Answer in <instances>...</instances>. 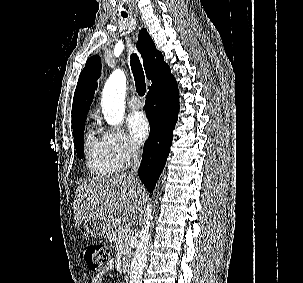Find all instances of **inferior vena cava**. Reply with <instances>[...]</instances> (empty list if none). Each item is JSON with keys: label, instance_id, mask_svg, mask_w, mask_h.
I'll list each match as a JSON object with an SVG mask.
<instances>
[{"label": "inferior vena cava", "instance_id": "1", "mask_svg": "<svg viewBox=\"0 0 303 283\" xmlns=\"http://www.w3.org/2000/svg\"><path fill=\"white\" fill-rule=\"evenodd\" d=\"M131 157H132V170H131V175L134 176L137 174L138 168L141 163V150L138 146L136 145H131Z\"/></svg>", "mask_w": 303, "mask_h": 283}]
</instances>
